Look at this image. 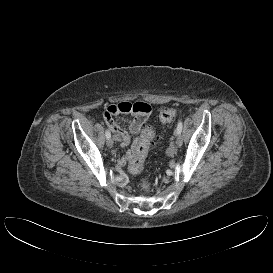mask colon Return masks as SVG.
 <instances>
[{"instance_id": "1", "label": "colon", "mask_w": 273, "mask_h": 273, "mask_svg": "<svg viewBox=\"0 0 273 273\" xmlns=\"http://www.w3.org/2000/svg\"><path fill=\"white\" fill-rule=\"evenodd\" d=\"M177 110L174 108H165L160 111L159 119L162 123H169L175 119ZM154 136L153 128L145 126L142 135L134 147L133 155L129 160L128 169L132 174H138L143 170L145 159L148 153L149 145ZM144 191H148L151 184L148 180H142L140 183Z\"/></svg>"}]
</instances>
